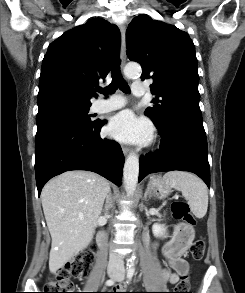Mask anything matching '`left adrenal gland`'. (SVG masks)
<instances>
[{"label":"left adrenal gland","mask_w":245,"mask_h":293,"mask_svg":"<svg viewBox=\"0 0 245 293\" xmlns=\"http://www.w3.org/2000/svg\"><path fill=\"white\" fill-rule=\"evenodd\" d=\"M148 193H149V188H147L146 191H145V194H144V198H145V200L147 199V195H148Z\"/></svg>","instance_id":"left-adrenal-gland-1"}]
</instances>
